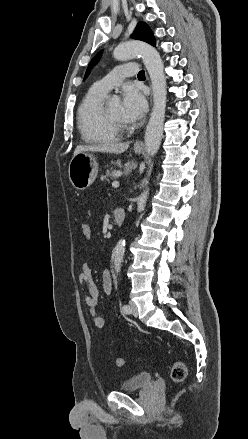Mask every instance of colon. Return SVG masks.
<instances>
[{"label": "colon", "mask_w": 248, "mask_h": 439, "mask_svg": "<svg viewBox=\"0 0 248 439\" xmlns=\"http://www.w3.org/2000/svg\"><path fill=\"white\" fill-rule=\"evenodd\" d=\"M82 234L84 238L90 239L92 237V229L88 224L82 225ZM115 364L118 367H122L125 364V360L123 358H117L115 360ZM187 375V368L182 362H175L172 365L170 377L174 383H181L185 380Z\"/></svg>", "instance_id": "5ec220e1"}]
</instances>
